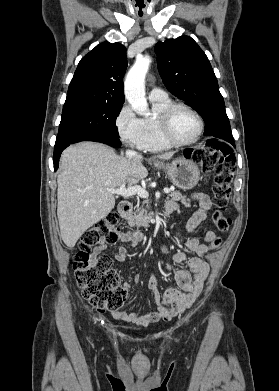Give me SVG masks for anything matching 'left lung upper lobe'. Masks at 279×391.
I'll return each instance as SVG.
<instances>
[{
  "mask_svg": "<svg viewBox=\"0 0 279 391\" xmlns=\"http://www.w3.org/2000/svg\"><path fill=\"white\" fill-rule=\"evenodd\" d=\"M158 70L167 89L205 121V136L232 137L223 97L210 62L188 36L157 43ZM233 138V137H232Z\"/></svg>",
  "mask_w": 279,
  "mask_h": 391,
  "instance_id": "obj_1",
  "label": "left lung upper lobe"
}]
</instances>
